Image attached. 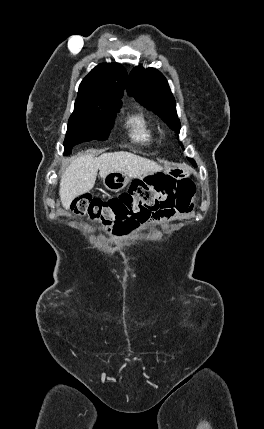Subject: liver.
<instances>
[{"mask_svg":"<svg viewBox=\"0 0 264 429\" xmlns=\"http://www.w3.org/2000/svg\"><path fill=\"white\" fill-rule=\"evenodd\" d=\"M161 169L154 161L124 151L105 153L99 157L92 154L76 156L61 176L60 199L63 207L69 209L76 197L94 187L98 170L101 178L114 171L122 172L129 178H139L145 173Z\"/></svg>","mask_w":264,"mask_h":429,"instance_id":"liver-1","label":"liver"}]
</instances>
